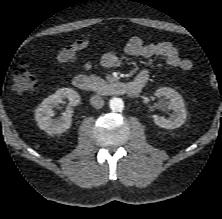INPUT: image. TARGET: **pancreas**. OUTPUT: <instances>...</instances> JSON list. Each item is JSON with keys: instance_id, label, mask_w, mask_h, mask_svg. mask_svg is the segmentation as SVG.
Here are the masks:
<instances>
[{"instance_id": "1", "label": "pancreas", "mask_w": 222, "mask_h": 219, "mask_svg": "<svg viewBox=\"0 0 222 219\" xmlns=\"http://www.w3.org/2000/svg\"><path fill=\"white\" fill-rule=\"evenodd\" d=\"M92 90L98 91L106 82L99 76L91 75Z\"/></svg>"}]
</instances>
